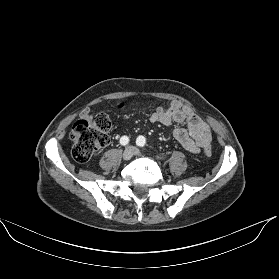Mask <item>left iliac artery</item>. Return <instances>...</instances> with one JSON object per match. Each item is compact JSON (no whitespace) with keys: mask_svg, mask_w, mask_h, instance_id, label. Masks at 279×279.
<instances>
[{"mask_svg":"<svg viewBox=\"0 0 279 279\" xmlns=\"http://www.w3.org/2000/svg\"><path fill=\"white\" fill-rule=\"evenodd\" d=\"M136 144H137L138 146H140V147L145 146V144H146V139H145V137L139 136V137L136 139Z\"/></svg>","mask_w":279,"mask_h":279,"instance_id":"left-iliac-artery-1","label":"left iliac artery"}]
</instances>
